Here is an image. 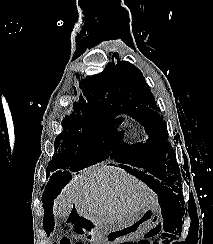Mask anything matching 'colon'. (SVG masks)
I'll use <instances>...</instances> for the list:
<instances>
[{
	"label": "colon",
	"instance_id": "5ec220e1",
	"mask_svg": "<svg viewBox=\"0 0 213 244\" xmlns=\"http://www.w3.org/2000/svg\"><path fill=\"white\" fill-rule=\"evenodd\" d=\"M53 244H85L83 242H79V241H76V242H72L70 239L68 238H62L60 239L59 241L57 242H54Z\"/></svg>",
	"mask_w": 213,
	"mask_h": 244
}]
</instances>
